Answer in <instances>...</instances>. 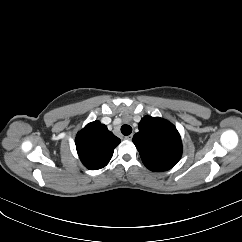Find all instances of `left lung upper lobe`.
<instances>
[{
	"label": "left lung upper lobe",
	"mask_w": 242,
	"mask_h": 242,
	"mask_svg": "<svg viewBox=\"0 0 242 242\" xmlns=\"http://www.w3.org/2000/svg\"><path fill=\"white\" fill-rule=\"evenodd\" d=\"M133 136L144 165L156 172L171 169L180 160L182 144L176 127L169 121L145 116Z\"/></svg>",
	"instance_id": "left-lung-upper-lobe-1"
}]
</instances>
